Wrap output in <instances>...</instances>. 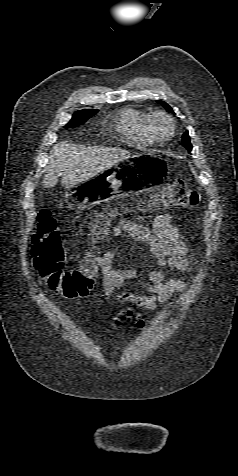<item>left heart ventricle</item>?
<instances>
[{
	"label": "left heart ventricle",
	"instance_id": "obj_1",
	"mask_svg": "<svg viewBox=\"0 0 238 476\" xmlns=\"http://www.w3.org/2000/svg\"><path fill=\"white\" fill-rule=\"evenodd\" d=\"M169 129H170V126L168 123L163 122L160 124V130L162 131V133L164 134L168 133Z\"/></svg>",
	"mask_w": 238,
	"mask_h": 476
}]
</instances>
